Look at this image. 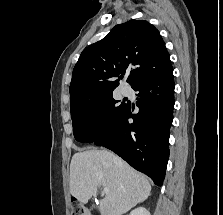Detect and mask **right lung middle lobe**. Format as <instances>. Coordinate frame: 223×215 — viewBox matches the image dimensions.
<instances>
[{
    "label": "right lung middle lobe",
    "instance_id": "dd1d6c3e",
    "mask_svg": "<svg viewBox=\"0 0 223 215\" xmlns=\"http://www.w3.org/2000/svg\"><path fill=\"white\" fill-rule=\"evenodd\" d=\"M118 102L111 94L71 108L75 139L92 143L107 135L119 123L128 107V103Z\"/></svg>",
    "mask_w": 223,
    "mask_h": 215
}]
</instances>
